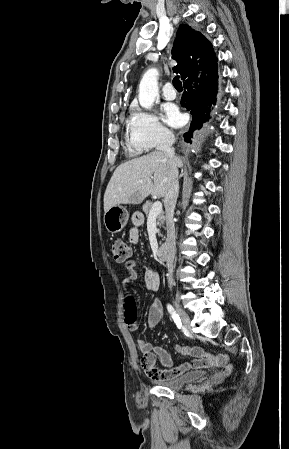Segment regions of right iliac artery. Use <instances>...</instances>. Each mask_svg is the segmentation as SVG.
<instances>
[{"instance_id": "obj_1", "label": "right iliac artery", "mask_w": 289, "mask_h": 449, "mask_svg": "<svg viewBox=\"0 0 289 449\" xmlns=\"http://www.w3.org/2000/svg\"><path fill=\"white\" fill-rule=\"evenodd\" d=\"M167 310H168L170 316L172 317V319L174 320V322L176 323L177 327L179 329H181V327H182L181 320H180L178 314L176 313L175 309L173 308V306L168 304Z\"/></svg>"}]
</instances>
